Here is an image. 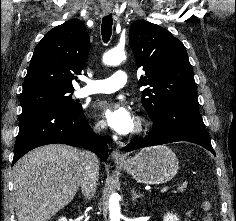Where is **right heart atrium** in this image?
<instances>
[{"label":"right heart atrium","mask_w":236,"mask_h":221,"mask_svg":"<svg viewBox=\"0 0 236 221\" xmlns=\"http://www.w3.org/2000/svg\"><path fill=\"white\" fill-rule=\"evenodd\" d=\"M105 130V126L102 122H97L94 126V131L97 133V134H102Z\"/></svg>","instance_id":"obj_1"}]
</instances>
